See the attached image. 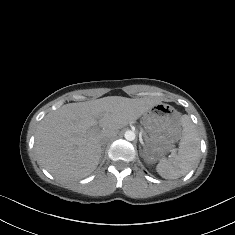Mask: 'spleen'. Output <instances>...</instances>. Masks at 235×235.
Listing matches in <instances>:
<instances>
[{"label":"spleen","mask_w":235,"mask_h":235,"mask_svg":"<svg viewBox=\"0 0 235 235\" xmlns=\"http://www.w3.org/2000/svg\"><path fill=\"white\" fill-rule=\"evenodd\" d=\"M182 124L184 129L178 155L173 159L163 158L155 168L157 174L164 179H177L186 175L198 166L200 160V139L196 126L187 115L183 116Z\"/></svg>","instance_id":"3e777b00"}]
</instances>
